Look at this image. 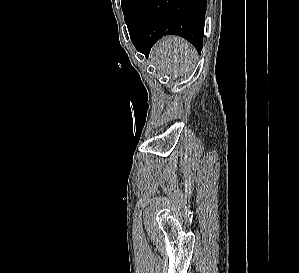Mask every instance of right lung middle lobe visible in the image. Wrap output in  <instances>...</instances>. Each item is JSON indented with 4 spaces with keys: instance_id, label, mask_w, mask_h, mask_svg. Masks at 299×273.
I'll return each mask as SVG.
<instances>
[{
    "instance_id": "1",
    "label": "right lung middle lobe",
    "mask_w": 299,
    "mask_h": 273,
    "mask_svg": "<svg viewBox=\"0 0 299 273\" xmlns=\"http://www.w3.org/2000/svg\"><path fill=\"white\" fill-rule=\"evenodd\" d=\"M134 0H122V10L124 13L125 20L128 19L131 11V6Z\"/></svg>"
}]
</instances>
